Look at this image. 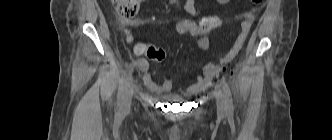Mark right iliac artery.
<instances>
[{
  "instance_id": "82829eb1",
  "label": "right iliac artery",
  "mask_w": 332,
  "mask_h": 140,
  "mask_svg": "<svg viewBox=\"0 0 332 140\" xmlns=\"http://www.w3.org/2000/svg\"><path fill=\"white\" fill-rule=\"evenodd\" d=\"M175 1L176 0H170V3H174ZM136 64H137V61L130 64L128 66L127 70L125 71V73L123 74V76L121 77L120 81H119L118 96H117V105H118V107H121V105H122V96H123V92H124L127 80L130 77L131 73L133 72L134 66Z\"/></svg>"
}]
</instances>
